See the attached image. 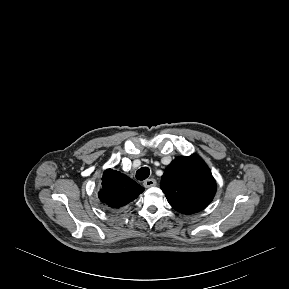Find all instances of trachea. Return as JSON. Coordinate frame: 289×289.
<instances>
[{
    "instance_id": "obj_1",
    "label": "trachea",
    "mask_w": 289,
    "mask_h": 289,
    "mask_svg": "<svg viewBox=\"0 0 289 289\" xmlns=\"http://www.w3.org/2000/svg\"><path fill=\"white\" fill-rule=\"evenodd\" d=\"M150 175V169L148 167H142L136 172V178L140 181L145 180Z\"/></svg>"
}]
</instances>
